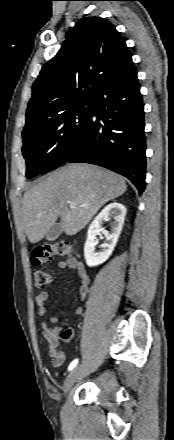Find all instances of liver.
Here are the masks:
<instances>
[{
    "label": "liver",
    "instance_id": "obj_1",
    "mask_svg": "<svg viewBox=\"0 0 174 440\" xmlns=\"http://www.w3.org/2000/svg\"><path fill=\"white\" fill-rule=\"evenodd\" d=\"M126 190L123 177L112 171L82 163L66 165L24 193L22 227L33 244L44 238L58 218L62 231L75 235L105 203ZM70 202L76 206L71 208Z\"/></svg>",
    "mask_w": 174,
    "mask_h": 440
}]
</instances>
